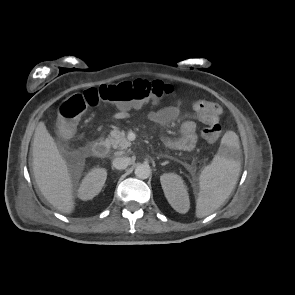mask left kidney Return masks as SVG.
<instances>
[{
    "label": "left kidney",
    "instance_id": "left-kidney-1",
    "mask_svg": "<svg viewBox=\"0 0 295 295\" xmlns=\"http://www.w3.org/2000/svg\"><path fill=\"white\" fill-rule=\"evenodd\" d=\"M160 182L165 197L172 208L182 214L188 212L189 196L183 179L175 173H167L160 177Z\"/></svg>",
    "mask_w": 295,
    "mask_h": 295
}]
</instances>
